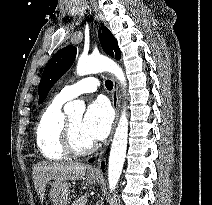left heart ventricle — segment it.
Instances as JSON below:
<instances>
[{
	"mask_svg": "<svg viewBox=\"0 0 212 205\" xmlns=\"http://www.w3.org/2000/svg\"><path fill=\"white\" fill-rule=\"evenodd\" d=\"M82 119L81 115L69 118L73 138L78 147H86L92 143L82 131Z\"/></svg>",
	"mask_w": 212,
	"mask_h": 205,
	"instance_id": "1",
	"label": "left heart ventricle"
}]
</instances>
